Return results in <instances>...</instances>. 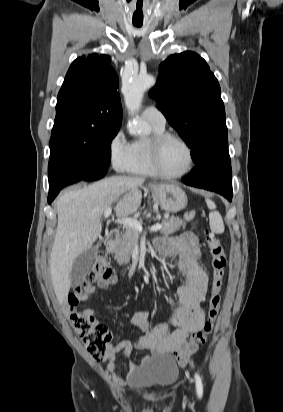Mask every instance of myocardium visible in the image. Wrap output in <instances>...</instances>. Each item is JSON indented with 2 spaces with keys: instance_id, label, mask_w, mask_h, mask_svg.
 <instances>
[{
  "instance_id": "1",
  "label": "myocardium",
  "mask_w": 283,
  "mask_h": 412,
  "mask_svg": "<svg viewBox=\"0 0 283 412\" xmlns=\"http://www.w3.org/2000/svg\"><path fill=\"white\" fill-rule=\"evenodd\" d=\"M171 139L181 142L186 147L188 151V155H189L188 166L185 168V170L179 173H169V172L164 171L160 163V156H161L162 148L164 144L168 140H171ZM150 152H151V162L156 171V175L164 177V178L174 179V178L184 177L192 171L195 165V155H194V149L192 145L184 137L174 132H163L161 134L156 135L152 139Z\"/></svg>"
}]
</instances>
